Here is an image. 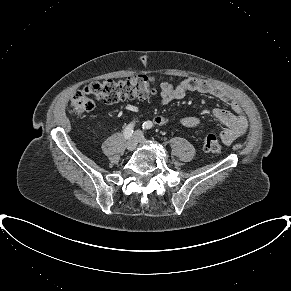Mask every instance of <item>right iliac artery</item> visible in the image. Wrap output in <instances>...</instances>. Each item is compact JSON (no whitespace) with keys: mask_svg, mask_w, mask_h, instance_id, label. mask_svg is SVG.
Masks as SVG:
<instances>
[{"mask_svg":"<svg viewBox=\"0 0 291 291\" xmlns=\"http://www.w3.org/2000/svg\"><path fill=\"white\" fill-rule=\"evenodd\" d=\"M134 123L128 124V126L124 129L123 134L126 139H129L133 134Z\"/></svg>","mask_w":291,"mask_h":291,"instance_id":"right-iliac-artery-1","label":"right iliac artery"}]
</instances>
